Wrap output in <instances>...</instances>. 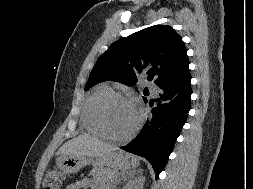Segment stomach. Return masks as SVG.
<instances>
[{
	"instance_id": "0dacf381",
	"label": "stomach",
	"mask_w": 253,
	"mask_h": 189,
	"mask_svg": "<svg viewBox=\"0 0 253 189\" xmlns=\"http://www.w3.org/2000/svg\"><path fill=\"white\" fill-rule=\"evenodd\" d=\"M92 163L107 166L114 170H125L130 167L128 158L121 152L114 151L108 152L95 160L92 157L78 155H62L57 159L58 168L67 174H74L85 165Z\"/></svg>"
}]
</instances>
